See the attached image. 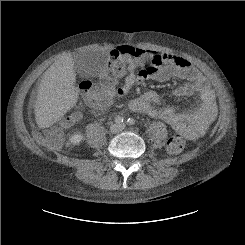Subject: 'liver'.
Here are the masks:
<instances>
[{"label":"liver","instance_id":"1","mask_svg":"<svg viewBox=\"0 0 245 245\" xmlns=\"http://www.w3.org/2000/svg\"><path fill=\"white\" fill-rule=\"evenodd\" d=\"M74 65L73 57L65 55L45 71L35 105L39 128L52 126L76 104L78 94L74 86Z\"/></svg>","mask_w":245,"mask_h":245}]
</instances>
